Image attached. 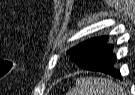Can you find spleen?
<instances>
[{
    "label": "spleen",
    "mask_w": 135,
    "mask_h": 95,
    "mask_svg": "<svg viewBox=\"0 0 135 95\" xmlns=\"http://www.w3.org/2000/svg\"><path fill=\"white\" fill-rule=\"evenodd\" d=\"M67 95H125L123 88L111 79L101 77H81Z\"/></svg>",
    "instance_id": "3e777b00"
}]
</instances>
